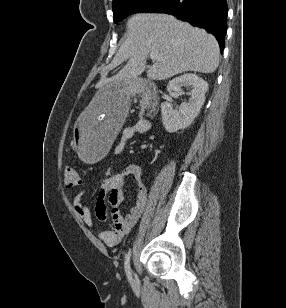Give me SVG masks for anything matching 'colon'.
I'll use <instances>...</instances> for the list:
<instances>
[{
    "label": "colon",
    "mask_w": 286,
    "mask_h": 308,
    "mask_svg": "<svg viewBox=\"0 0 286 308\" xmlns=\"http://www.w3.org/2000/svg\"><path fill=\"white\" fill-rule=\"evenodd\" d=\"M63 176L65 185L70 188L77 187L82 182L79 173L72 167L65 168Z\"/></svg>",
    "instance_id": "colon-1"
}]
</instances>
